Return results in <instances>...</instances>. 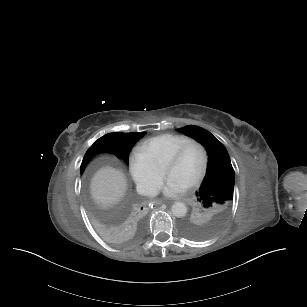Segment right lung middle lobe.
Segmentation results:
<instances>
[{
    "mask_svg": "<svg viewBox=\"0 0 307 307\" xmlns=\"http://www.w3.org/2000/svg\"><path fill=\"white\" fill-rule=\"evenodd\" d=\"M135 135L131 133H109L99 138L86 152L82 164L81 171L84 170L87 162L96 154L108 152L115 154L128 163V156L133 145L145 135Z\"/></svg>",
    "mask_w": 307,
    "mask_h": 307,
    "instance_id": "obj_1",
    "label": "right lung middle lobe"
}]
</instances>
